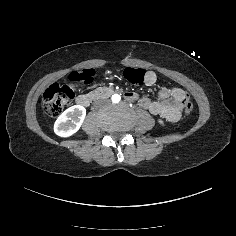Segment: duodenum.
<instances>
[{"instance_id": "1", "label": "duodenum", "mask_w": 236, "mask_h": 236, "mask_svg": "<svg viewBox=\"0 0 236 236\" xmlns=\"http://www.w3.org/2000/svg\"><path fill=\"white\" fill-rule=\"evenodd\" d=\"M113 94L110 88H98L92 92L81 94L76 98V103L82 107H88L92 101L100 98H105ZM126 99L129 101L135 100L133 93H126ZM140 106L149 109L151 113L160 115L170 121H176L180 117V101L172 94L171 97L163 102H151L148 99H142Z\"/></svg>"}]
</instances>
